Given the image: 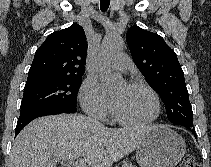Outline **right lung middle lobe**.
<instances>
[{"instance_id":"obj_1","label":"right lung middle lobe","mask_w":211,"mask_h":167,"mask_svg":"<svg viewBox=\"0 0 211 167\" xmlns=\"http://www.w3.org/2000/svg\"><path fill=\"white\" fill-rule=\"evenodd\" d=\"M81 77H46L27 81L21 113L43 107L76 108Z\"/></svg>"}]
</instances>
